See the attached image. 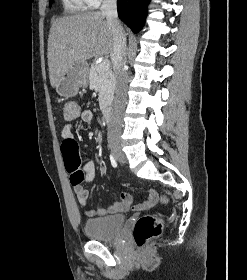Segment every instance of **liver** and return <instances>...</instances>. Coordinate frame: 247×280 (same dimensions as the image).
<instances>
[{
	"label": "liver",
	"instance_id": "liver-1",
	"mask_svg": "<svg viewBox=\"0 0 247 280\" xmlns=\"http://www.w3.org/2000/svg\"><path fill=\"white\" fill-rule=\"evenodd\" d=\"M113 44L108 22L100 12L56 19L49 32L47 49L51 86L57 87L74 64L111 54Z\"/></svg>",
	"mask_w": 247,
	"mask_h": 280
}]
</instances>
